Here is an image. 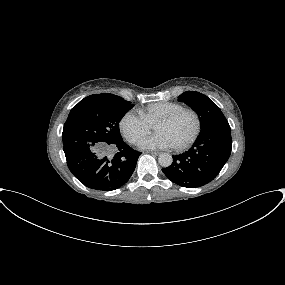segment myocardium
Masks as SVG:
<instances>
[{
  "instance_id": "f54148a6",
  "label": "myocardium",
  "mask_w": 285,
  "mask_h": 285,
  "mask_svg": "<svg viewBox=\"0 0 285 285\" xmlns=\"http://www.w3.org/2000/svg\"><path fill=\"white\" fill-rule=\"evenodd\" d=\"M186 112L191 113L194 116L196 125H195V129H194L193 133L191 134V136L187 140H185L182 144H180L178 146H173V148L177 151H181V150L188 148L198 138V136L201 132V128H202V120H201L199 113L192 108L183 107L181 109H178L174 112H171V113L161 117L160 119H158L156 121V123L153 126V128H155L156 125H158V124L169 123V122L173 121L174 119H176L179 115L186 113Z\"/></svg>"
}]
</instances>
